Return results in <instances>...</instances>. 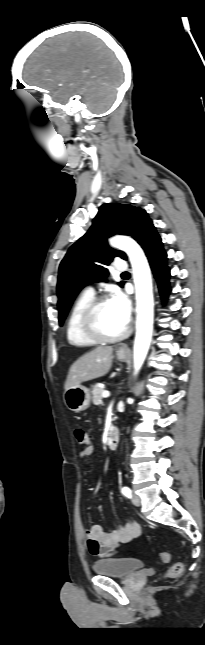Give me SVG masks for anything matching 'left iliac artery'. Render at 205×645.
<instances>
[{"label":"left iliac artery","instance_id":"left-iliac-artery-1","mask_svg":"<svg viewBox=\"0 0 205 645\" xmlns=\"http://www.w3.org/2000/svg\"><path fill=\"white\" fill-rule=\"evenodd\" d=\"M122 493H123L125 496H127V497H131V493H132V492H131V490H130V488H129V487L124 486V487L122 488Z\"/></svg>","mask_w":205,"mask_h":645}]
</instances>
